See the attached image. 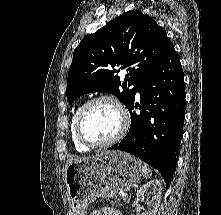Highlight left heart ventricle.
Segmentation results:
<instances>
[{
    "instance_id": "obj_1",
    "label": "left heart ventricle",
    "mask_w": 221,
    "mask_h": 215,
    "mask_svg": "<svg viewBox=\"0 0 221 215\" xmlns=\"http://www.w3.org/2000/svg\"><path fill=\"white\" fill-rule=\"evenodd\" d=\"M121 126L120 114L111 102L100 101L91 105L82 123L83 133L93 141L112 138Z\"/></svg>"
}]
</instances>
